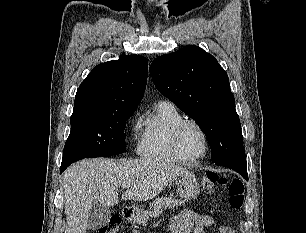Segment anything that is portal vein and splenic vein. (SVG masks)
Wrapping results in <instances>:
<instances>
[{"label": "portal vein and splenic vein", "instance_id": "obj_1", "mask_svg": "<svg viewBox=\"0 0 306 233\" xmlns=\"http://www.w3.org/2000/svg\"><path fill=\"white\" fill-rule=\"evenodd\" d=\"M130 184H122V188H129Z\"/></svg>", "mask_w": 306, "mask_h": 233}]
</instances>
